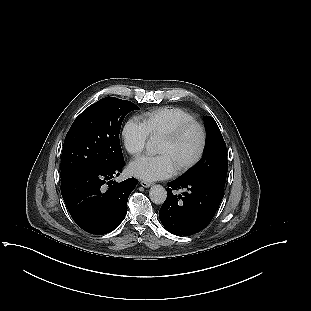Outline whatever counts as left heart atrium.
Segmentation results:
<instances>
[{"instance_id":"39dd6f15","label":"left heart atrium","mask_w":311,"mask_h":311,"mask_svg":"<svg viewBox=\"0 0 311 311\" xmlns=\"http://www.w3.org/2000/svg\"><path fill=\"white\" fill-rule=\"evenodd\" d=\"M174 169L169 157L165 154L145 155L133 161L129 166L133 176L145 181L167 178L173 174Z\"/></svg>"}]
</instances>
